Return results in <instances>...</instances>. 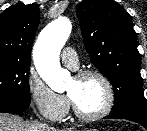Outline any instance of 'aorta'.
I'll list each match as a JSON object with an SVG mask.
<instances>
[{
	"mask_svg": "<svg viewBox=\"0 0 147 131\" xmlns=\"http://www.w3.org/2000/svg\"><path fill=\"white\" fill-rule=\"evenodd\" d=\"M68 18L59 17L48 24L38 36L33 57L36 70L45 83L54 91L62 92L71 80L68 70L59 62V54L71 32Z\"/></svg>",
	"mask_w": 147,
	"mask_h": 131,
	"instance_id": "1",
	"label": "aorta"
}]
</instances>
